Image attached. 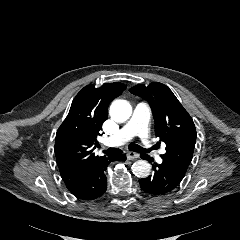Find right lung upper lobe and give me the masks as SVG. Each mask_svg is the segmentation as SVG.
I'll return each mask as SVG.
<instances>
[{
	"mask_svg": "<svg viewBox=\"0 0 240 240\" xmlns=\"http://www.w3.org/2000/svg\"><path fill=\"white\" fill-rule=\"evenodd\" d=\"M126 85L104 84L99 89L87 85L75 96L69 113L56 133V162L68 189L102 162L105 156H96L102 124L107 119L110 102L118 97Z\"/></svg>",
	"mask_w": 240,
	"mask_h": 240,
	"instance_id": "1",
	"label": "right lung upper lobe"
}]
</instances>
